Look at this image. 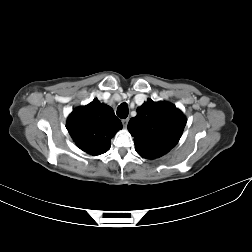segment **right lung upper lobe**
<instances>
[{
  "label": "right lung upper lobe",
  "instance_id": "right-lung-upper-lobe-1",
  "mask_svg": "<svg viewBox=\"0 0 252 252\" xmlns=\"http://www.w3.org/2000/svg\"><path fill=\"white\" fill-rule=\"evenodd\" d=\"M121 128L112 108L97 99L75 108L67 120L68 132L77 146L93 156L107 152L111 138Z\"/></svg>",
  "mask_w": 252,
  "mask_h": 252
}]
</instances>
